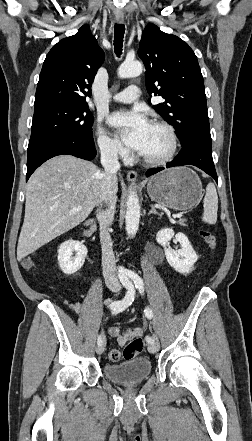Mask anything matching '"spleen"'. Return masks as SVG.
Segmentation results:
<instances>
[{"label": "spleen", "mask_w": 252, "mask_h": 441, "mask_svg": "<svg viewBox=\"0 0 252 441\" xmlns=\"http://www.w3.org/2000/svg\"><path fill=\"white\" fill-rule=\"evenodd\" d=\"M204 212L202 220L208 224H215L217 222L218 211V195L215 185L209 183L206 187V194L203 200Z\"/></svg>", "instance_id": "1"}]
</instances>
